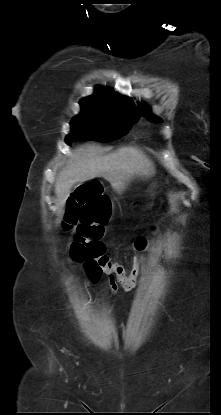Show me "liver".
<instances>
[{
	"mask_svg": "<svg viewBox=\"0 0 221 415\" xmlns=\"http://www.w3.org/2000/svg\"><path fill=\"white\" fill-rule=\"evenodd\" d=\"M76 161L60 170L55 181L58 205L64 206L71 187L96 177L106 178L119 194L135 177L154 174L153 163L139 149L123 147L113 153L100 155L95 146L81 147Z\"/></svg>",
	"mask_w": 221,
	"mask_h": 415,
	"instance_id": "liver-1",
	"label": "liver"
}]
</instances>
